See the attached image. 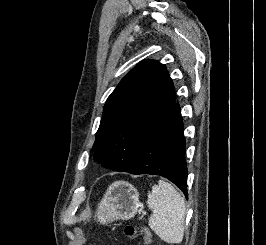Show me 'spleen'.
I'll list each match as a JSON object with an SVG mask.
<instances>
[{"label": "spleen", "mask_w": 266, "mask_h": 245, "mask_svg": "<svg viewBox=\"0 0 266 245\" xmlns=\"http://www.w3.org/2000/svg\"><path fill=\"white\" fill-rule=\"evenodd\" d=\"M147 205L153 215L149 217V227L169 245H179L184 237L185 203L180 193L166 181L148 191Z\"/></svg>", "instance_id": "3e777b00"}]
</instances>
